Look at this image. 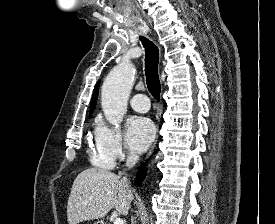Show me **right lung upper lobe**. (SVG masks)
<instances>
[{
  "label": "right lung upper lobe",
  "mask_w": 275,
  "mask_h": 224,
  "mask_svg": "<svg viewBox=\"0 0 275 224\" xmlns=\"http://www.w3.org/2000/svg\"><path fill=\"white\" fill-rule=\"evenodd\" d=\"M98 89H99V82L96 84L94 91H93V96H92L91 106H90V113H92V111L95 109L97 96H98Z\"/></svg>",
  "instance_id": "obj_1"
}]
</instances>
